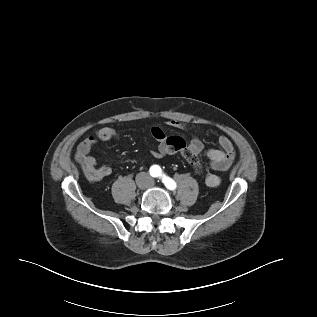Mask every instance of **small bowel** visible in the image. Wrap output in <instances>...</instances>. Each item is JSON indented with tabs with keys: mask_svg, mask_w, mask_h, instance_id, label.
Listing matches in <instances>:
<instances>
[{
	"mask_svg": "<svg viewBox=\"0 0 317 317\" xmlns=\"http://www.w3.org/2000/svg\"><path fill=\"white\" fill-rule=\"evenodd\" d=\"M166 125L176 129L187 130L188 126L175 119L166 121ZM152 136L159 141L154 155L161 158L166 155L176 153V148L186 149L191 154L198 156L203 152L204 145L201 138L195 135L188 143L180 136L167 137L161 127L151 128ZM119 136L118 132L111 127H101L93 135L84 139L77 150V159L83 167L92 171V180L99 181L112 174V168L107 165L97 166L96 159L91 155L92 149L99 142H107ZM168 139L171 141L167 142ZM220 149H209L206 156L209 160L210 171L205 175V184L208 187H217L221 179L215 172H224L230 168L235 158V149L231 140L226 136H220L218 140Z\"/></svg>",
	"mask_w": 317,
	"mask_h": 317,
	"instance_id": "small-bowel-1",
	"label": "small bowel"
}]
</instances>
